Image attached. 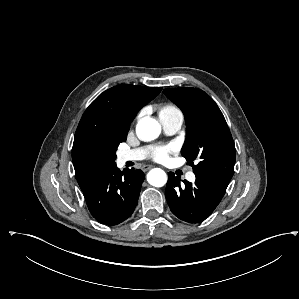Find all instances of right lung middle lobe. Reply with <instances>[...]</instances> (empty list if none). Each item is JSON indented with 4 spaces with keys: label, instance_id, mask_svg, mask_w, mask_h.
Instances as JSON below:
<instances>
[{
    "label": "right lung middle lobe",
    "instance_id": "dd1d6c3e",
    "mask_svg": "<svg viewBox=\"0 0 299 299\" xmlns=\"http://www.w3.org/2000/svg\"><path fill=\"white\" fill-rule=\"evenodd\" d=\"M126 137L109 136L106 143L102 146L90 144L87 152L91 172L97 176L103 170L114 166L116 159V150L121 142H124Z\"/></svg>",
    "mask_w": 299,
    "mask_h": 299
}]
</instances>
